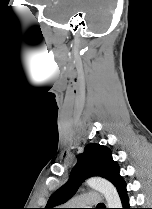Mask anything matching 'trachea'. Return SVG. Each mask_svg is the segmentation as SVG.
<instances>
[{
	"instance_id": "obj_1",
	"label": "trachea",
	"mask_w": 152,
	"mask_h": 209,
	"mask_svg": "<svg viewBox=\"0 0 152 209\" xmlns=\"http://www.w3.org/2000/svg\"><path fill=\"white\" fill-rule=\"evenodd\" d=\"M103 206V204L102 203H100L99 205H98V207H102Z\"/></svg>"
}]
</instances>
